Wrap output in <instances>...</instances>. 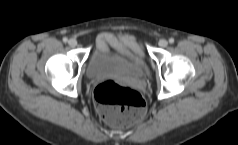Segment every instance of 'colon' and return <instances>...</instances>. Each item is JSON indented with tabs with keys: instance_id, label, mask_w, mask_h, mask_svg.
Listing matches in <instances>:
<instances>
[{
	"instance_id": "5ec220e1",
	"label": "colon",
	"mask_w": 238,
	"mask_h": 145,
	"mask_svg": "<svg viewBox=\"0 0 238 145\" xmlns=\"http://www.w3.org/2000/svg\"><path fill=\"white\" fill-rule=\"evenodd\" d=\"M94 101L101 117L115 125H129L145 115L146 103L141 93L115 80L100 83L94 90Z\"/></svg>"
}]
</instances>
